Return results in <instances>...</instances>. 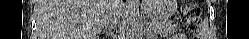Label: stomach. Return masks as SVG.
Segmentation results:
<instances>
[{
	"mask_svg": "<svg viewBox=\"0 0 249 39\" xmlns=\"http://www.w3.org/2000/svg\"><path fill=\"white\" fill-rule=\"evenodd\" d=\"M143 11L153 21H165L176 13L177 6L174 0H145Z\"/></svg>",
	"mask_w": 249,
	"mask_h": 39,
	"instance_id": "0dacf381",
	"label": "stomach"
}]
</instances>
